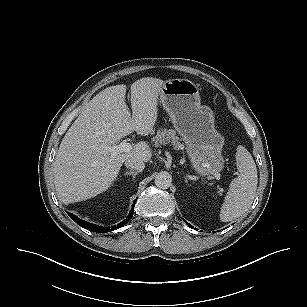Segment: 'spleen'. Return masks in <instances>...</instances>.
Listing matches in <instances>:
<instances>
[{"label":"spleen","instance_id":"3e777b00","mask_svg":"<svg viewBox=\"0 0 307 307\" xmlns=\"http://www.w3.org/2000/svg\"><path fill=\"white\" fill-rule=\"evenodd\" d=\"M238 177L234 178L220 210L222 222L232 221L243 215L252 205L257 190V168L252 155L241 145L237 147Z\"/></svg>","mask_w":307,"mask_h":307}]
</instances>
